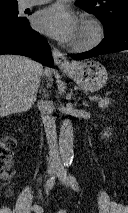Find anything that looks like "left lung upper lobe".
<instances>
[{"label": "left lung upper lobe", "mask_w": 128, "mask_h": 213, "mask_svg": "<svg viewBox=\"0 0 128 213\" xmlns=\"http://www.w3.org/2000/svg\"><path fill=\"white\" fill-rule=\"evenodd\" d=\"M76 5L96 15L105 30L128 21V0H77Z\"/></svg>", "instance_id": "left-lung-upper-lobe-1"}]
</instances>
